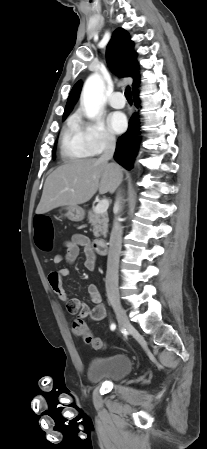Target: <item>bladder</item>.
Segmentation results:
<instances>
[{
	"mask_svg": "<svg viewBox=\"0 0 207 449\" xmlns=\"http://www.w3.org/2000/svg\"><path fill=\"white\" fill-rule=\"evenodd\" d=\"M132 369V360L125 354L95 357L89 363L87 378L91 382L120 381L129 375Z\"/></svg>",
	"mask_w": 207,
	"mask_h": 449,
	"instance_id": "1",
	"label": "bladder"
}]
</instances>
